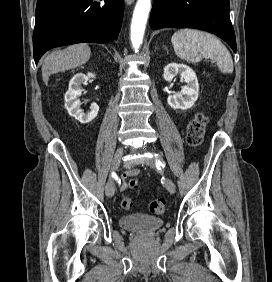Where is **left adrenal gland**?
Instances as JSON below:
<instances>
[{
  "label": "left adrenal gland",
  "mask_w": 272,
  "mask_h": 282,
  "mask_svg": "<svg viewBox=\"0 0 272 282\" xmlns=\"http://www.w3.org/2000/svg\"><path fill=\"white\" fill-rule=\"evenodd\" d=\"M163 48L167 51V53H168V50H167V47L166 46H163Z\"/></svg>",
  "instance_id": "a2214340"
}]
</instances>
